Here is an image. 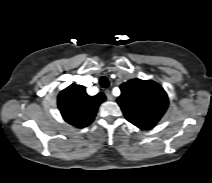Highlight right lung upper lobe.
I'll list each match as a JSON object with an SVG mask.
<instances>
[{"instance_id":"right-lung-upper-lobe-1","label":"right lung upper lobe","mask_w":212,"mask_h":183,"mask_svg":"<svg viewBox=\"0 0 212 183\" xmlns=\"http://www.w3.org/2000/svg\"><path fill=\"white\" fill-rule=\"evenodd\" d=\"M104 101L105 95L103 93L89 96L85 87L71 84L60 92L58 107L66 122L83 128L94 120L99 105Z\"/></svg>"}]
</instances>
